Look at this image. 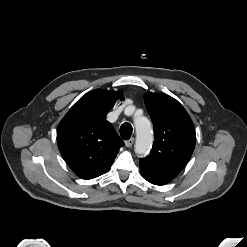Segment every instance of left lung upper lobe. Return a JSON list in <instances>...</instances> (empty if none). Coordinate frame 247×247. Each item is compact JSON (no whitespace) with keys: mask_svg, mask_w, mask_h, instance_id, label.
I'll return each instance as SVG.
<instances>
[{"mask_svg":"<svg viewBox=\"0 0 247 247\" xmlns=\"http://www.w3.org/2000/svg\"><path fill=\"white\" fill-rule=\"evenodd\" d=\"M144 99L155 140L150 155L139 162L140 172L150 183L165 185L189 161L195 146V129L186 110L171 96L147 92Z\"/></svg>","mask_w":247,"mask_h":247,"instance_id":"1","label":"left lung upper lobe"}]
</instances>
